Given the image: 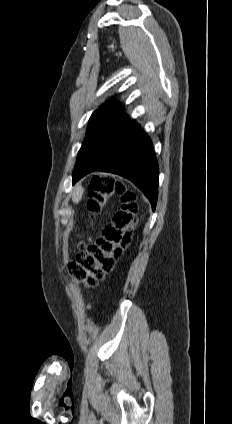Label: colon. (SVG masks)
<instances>
[{
  "instance_id": "1",
  "label": "colon",
  "mask_w": 232,
  "mask_h": 424,
  "mask_svg": "<svg viewBox=\"0 0 232 424\" xmlns=\"http://www.w3.org/2000/svg\"><path fill=\"white\" fill-rule=\"evenodd\" d=\"M88 210L92 217L103 212L109 197H121V208L113 215L112 222L102 234L88 245H80L75 260L69 265V273L88 287L95 286L112 270L125 248L131 242L138 209L136 194L109 176L92 178L88 190Z\"/></svg>"
}]
</instances>
